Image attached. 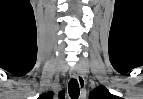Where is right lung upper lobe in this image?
Returning <instances> with one entry per match:
<instances>
[{
	"mask_svg": "<svg viewBox=\"0 0 143 99\" xmlns=\"http://www.w3.org/2000/svg\"><path fill=\"white\" fill-rule=\"evenodd\" d=\"M59 98L60 99H63L64 98V92H60L59 93ZM38 99H52V93L51 92H48L44 95H41Z\"/></svg>",
	"mask_w": 143,
	"mask_h": 99,
	"instance_id": "1",
	"label": "right lung upper lobe"
}]
</instances>
